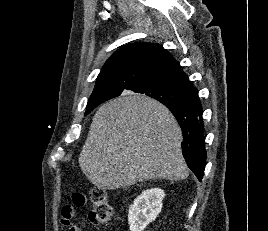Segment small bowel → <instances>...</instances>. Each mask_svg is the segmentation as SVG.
Returning a JSON list of instances; mask_svg holds the SVG:
<instances>
[{
  "label": "small bowel",
  "mask_w": 268,
  "mask_h": 231,
  "mask_svg": "<svg viewBox=\"0 0 268 231\" xmlns=\"http://www.w3.org/2000/svg\"><path fill=\"white\" fill-rule=\"evenodd\" d=\"M75 204L81 206L82 202L77 199ZM75 210L70 205H64L61 209L60 223L68 227L69 231H82V229L74 222Z\"/></svg>",
  "instance_id": "small-bowel-1"
}]
</instances>
